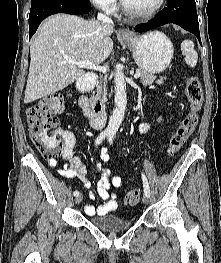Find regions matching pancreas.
<instances>
[{"mask_svg":"<svg viewBox=\"0 0 221 263\" xmlns=\"http://www.w3.org/2000/svg\"><path fill=\"white\" fill-rule=\"evenodd\" d=\"M137 72H139L141 74L140 82L144 86L151 85L154 82H156L158 85H161V84H163V80L166 79V77H160V79H156V76H154L153 74H150L146 71H143L141 69H138ZM104 81H106V79H104ZM106 95H107L106 84H105V82L104 83L100 82L97 85V93L92 98L96 101H100V102L104 103L106 101Z\"/></svg>","mask_w":221,"mask_h":263,"instance_id":"pancreas-1","label":"pancreas"}]
</instances>
